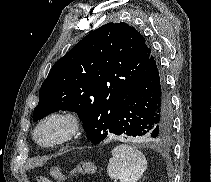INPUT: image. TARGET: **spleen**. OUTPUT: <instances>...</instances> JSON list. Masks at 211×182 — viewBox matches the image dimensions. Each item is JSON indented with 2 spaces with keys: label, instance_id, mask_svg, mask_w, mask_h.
I'll return each mask as SVG.
<instances>
[{
  "label": "spleen",
  "instance_id": "3e777b00",
  "mask_svg": "<svg viewBox=\"0 0 211 182\" xmlns=\"http://www.w3.org/2000/svg\"><path fill=\"white\" fill-rule=\"evenodd\" d=\"M147 169L143 153L126 144L116 146L108 161L107 173L111 179L120 182H138Z\"/></svg>",
  "mask_w": 211,
  "mask_h": 182
}]
</instances>
